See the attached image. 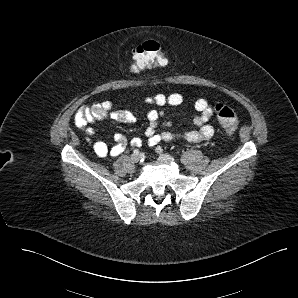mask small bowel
Instances as JSON below:
<instances>
[{"label":"small bowel","mask_w":298,"mask_h":298,"mask_svg":"<svg viewBox=\"0 0 298 298\" xmlns=\"http://www.w3.org/2000/svg\"><path fill=\"white\" fill-rule=\"evenodd\" d=\"M183 96L180 93L156 94L146 97L144 103L149 107L179 106L183 103ZM194 108L197 114L193 118L195 129L185 131L181 134H175L170 131L157 132L160 126L169 127L171 121H161L164 116L162 109H150L147 114L149 124L145 129L146 142L151 145H157L162 141L170 142L175 139H182L187 142L197 143L206 141L214 135V127L209 123L213 115V106L206 99L200 98L195 101ZM96 120H110L126 124L136 122V116L127 110H114L113 104L109 100L81 106L74 116L75 124L85 133L86 141L91 145L94 152L100 157L121 155L127 148L128 142L124 135L116 133L114 135L115 144L109 147L102 141L94 140L95 131L91 123ZM143 140L135 137L131 140V145L141 146Z\"/></svg>","instance_id":"small-bowel-1"}]
</instances>
